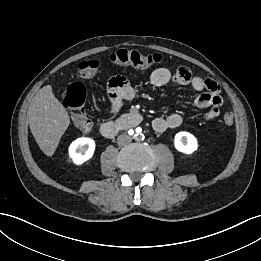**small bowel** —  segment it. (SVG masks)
<instances>
[{
    "label": "small bowel",
    "instance_id": "obj_1",
    "mask_svg": "<svg viewBox=\"0 0 261 261\" xmlns=\"http://www.w3.org/2000/svg\"><path fill=\"white\" fill-rule=\"evenodd\" d=\"M150 84L156 87L164 86L168 83H175L180 86H190L195 91L201 92L196 98L195 103L199 108H207L203 119L212 120L219 115V108L222 105L219 85L212 79H205L200 76L192 75L191 71L180 66L175 73L165 67H159L150 74ZM108 99L112 111H116L121 102L131 100L136 95V89L123 76H115L108 83ZM183 118L178 113L169 114L166 117H157L153 120L152 126L157 132H164L167 129L179 127Z\"/></svg>",
    "mask_w": 261,
    "mask_h": 261
}]
</instances>
